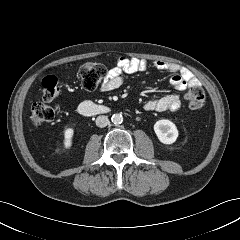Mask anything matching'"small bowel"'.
I'll return each mask as SVG.
<instances>
[{"instance_id":"obj_1","label":"small bowel","mask_w":240,"mask_h":240,"mask_svg":"<svg viewBox=\"0 0 240 240\" xmlns=\"http://www.w3.org/2000/svg\"><path fill=\"white\" fill-rule=\"evenodd\" d=\"M149 68L170 73V83L178 91H184L189 87L200 85L199 80L188 69L178 64L162 60L149 63L143 59L118 56L116 58V65L108 71L100 89L103 92L115 90L122 85L124 74L144 72ZM180 105V95L172 93L163 97L147 100L144 104V109L158 112L175 111Z\"/></svg>"}]
</instances>
